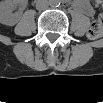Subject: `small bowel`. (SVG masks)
Here are the masks:
<instances>
[{
    "label": "small bowel",
    "mask_w": 103,
    "mask_h": 103,
    "mask_svg": "<svg viewBox=\"0 0 103 103\" xmlns=\"http://www.w3.org/2000/svg\"><path fill=\"white\" fill-rule=\"evenodd\" d=\"M76 8L80 13H82L88 17H92L95 13L92 5L87 1H82L78 4H76Z\"/></svg>",
    "instance_id": "1"
}]
</instances>
